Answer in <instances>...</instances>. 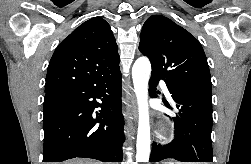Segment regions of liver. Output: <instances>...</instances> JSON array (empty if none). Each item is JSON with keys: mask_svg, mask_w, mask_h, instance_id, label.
<instances>
[{"mask_svg": "<svg viewBox=\"0 0 251 164\" xmlns=\"http://www.w3.org/2000/svg\"><path fill=\"white\" fill-rule=\"evenodd\" d=\"M62 164H102L96 161L87 160V159H73Z\"/></svg>", "mask_w": 251, "mask_h": 164, "instance_id": "liver-1", "label": "liver"}]
</instances>
